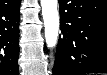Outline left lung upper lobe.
Masks as SVG:
<instances>
[{
    "label": "left lung upper lobe",
    "instance_id": "obj_1",
    "mask_svg": "<svg viewBox=\"0 0 107 75\" xmlns=\"http://www.w3.org/2000/svg\"><path fill=\"white\" fill-rule=\"evenodd\" d=\"M69 30L67 34V38L70 40H79L82 37L83 26L78 17H74L69 22Z\"/></svg>",
    "mask_w": 107,
    "mask_h": 75
}]
</instances>
